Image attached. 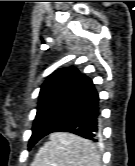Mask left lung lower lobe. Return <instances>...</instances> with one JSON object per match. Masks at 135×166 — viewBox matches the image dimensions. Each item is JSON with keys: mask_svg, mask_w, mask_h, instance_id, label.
Instances as JSON below:
<instances>
[{"mask_svg": "<svg viewBox=\"0 0 135 166\" xmlns=\"http://www.w3.org/2000/svg\"><path fill=\"white\" fill-rule=\"evenodd\" d=\"M70 132L97 142L100 136L99 96L92 81L80 75L75 86L57 110L32 129L29 149L53 132Z\"/></svg>", "mask_w": 135, "mask_h": 166, "instance_id": "0a47b994", "label": "left lung lower lobe"}]
</instances>
